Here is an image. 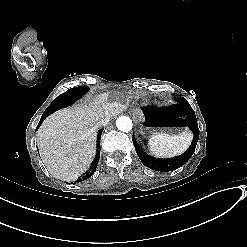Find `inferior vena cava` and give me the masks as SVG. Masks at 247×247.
<instances>
[{
    "label": "inferior vena cava",
    "instance_id": "602c4592",
    "mask_svg": "<svg viewBox=\"0 0 247 247\" xmlns=\"http://www.w3.org/2000/svg\"><path fill=\"white\" fill-rule=\"evenodd\" d=\"M111 118L109 116L104 117L102 119H100L97 123H96V127H103V126H107L110 122Z\"/></svg>",
    "mask_w": 247,
    "mask_h": 247
}]
</instances>
